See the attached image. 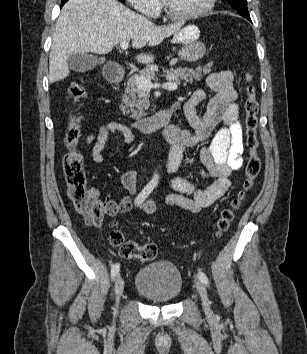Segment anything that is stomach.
<instances>
[{
	"mask_svg": "<svg viewBox=\"0 0 307 354\" xmlns=\"http://www.w3.org/2000/svg\"><path fill=\"white\" fill-rule=\"evenodd\" d=\"M198 37L199 29L195 25H188L174 35L172 42L183 45L178 53L182 60L196 62L206 54V46Z\"/></svg>",
	"mask_w": 307,
	"mask_h": 354,
	"instance_id": "0dacf381",
	"label": "stomach"
}]
</instances>
